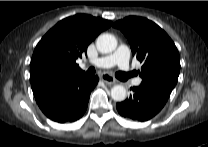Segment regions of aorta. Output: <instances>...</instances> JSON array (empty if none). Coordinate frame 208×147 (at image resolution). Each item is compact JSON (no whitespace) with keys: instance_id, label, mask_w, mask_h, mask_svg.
<instances>
[{"instance_id":"aorta-1","label":"aorta","mask_w":208,"mask_h":147,"mask_svg":"<svg viewBox=\"0 0 208 147\" xmlns=\"http://www.w3.org/2000/svg\"><path fill=\"white\" fill-rule=\"evenodd\" d=\"M96 47L101 53H111L117 47V40L114 35L109 33H104L98 36L96 40ZM127 92L124 86L115 85L111 89V97L113 100L121 102L126 99Z\"/></svg>"}]
</instances>
